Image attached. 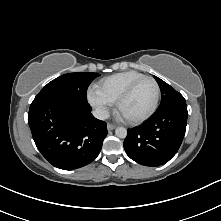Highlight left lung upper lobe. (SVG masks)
Wrapping results in <instances>:
<instances>
[{
    "label": "left lung upper lobe",
    "instance_id": "5c2ea615",
    "mask_svg": "<svg viewBox=\"0 0 221 221\" xmlns=\"http://www.w3.org/2000/svg\"><path fill=\"white\" fill-rule=\"evenodd\" d=\"M161 90V103L159 109H163L176 104H186L184 97L174 90L169 84L154 76Z\"/></svg>",
    "mask_w": 221,
    "mask_h": 221
}]
</instances>
